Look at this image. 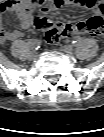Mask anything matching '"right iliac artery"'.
I'll use <instances>...</instances> for the list:
<instances>
[{
  "label": "right iliac artery",
  "instance_id": "1",
  "mask_svg": "<svg viewBox=\"0 0 104 137\" xmlns=\"http://www.w3.org/2000/svg\"><path fill=\"white\" fill-rule=\"evenodd\" d=\"M30 46L32 49H38L40 47V40L33 39L30 41Z\"/></svg>",
  "mask_w": 104,
  "mask_h": 137
}]
</instances>
